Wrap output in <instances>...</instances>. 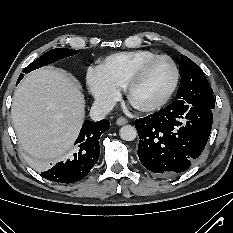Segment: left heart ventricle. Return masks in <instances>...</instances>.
<instances>
[{
    "label": "left heart ventricle",
    "instance_id": "b2bd125f",
    "mask_svg": "<svg viewBox=\"0 0 233 233\" xmlns=\"http://www.w3.org/2000/svg\"><path fill=\"white\" fill-rule=\"evenodd\" d=\"M174 72L167 59L152 62L130 91V101L136 106H146L159 100L168 90Z\"/></svg>",
    "mask_w": 233,
    "mask_h": 233
}]
</instances>
